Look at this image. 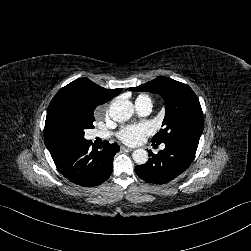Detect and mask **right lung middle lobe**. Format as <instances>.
Wrapping results in <instances>:
<instances>
[{
	"label": "right lung middle lobe",
	"mask_w": 251,
	"mask_h": 251,
	"mask_svg": "<svg viewBox=\"0 0 251 251\" xmlns=\"http://www.w3.org/2000/svg\"><path fill=\"white\" fill-rule=\"evenodd\" d=\"M94 114L71 108L61 98L55 97L49 104L44 137L82 140L84 129L94 128Z\"/></svg>",
	"instance_id": "right-lung-middle-lobe-1"
}]
</instances>
